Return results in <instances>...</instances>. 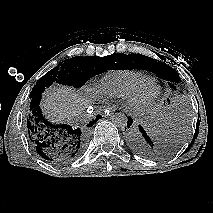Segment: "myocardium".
<instances>
[{
	"label": "myocardium",
	"mask_w": 213,
	"mask_h": 213,
	"mask_svg": "<svg viewBox=\"0 0 213 213\" xmlns=\"http://www.w3.org/2000/svg\"><path fill=\"white\" fill-rule=\"evenodd\" d=\"M160 96V86L156 81L150 80L142 85L129 97V105L135 109H142L152 105Z\"/></svg>",
	"instance_id": "1"
}]
</instances>
